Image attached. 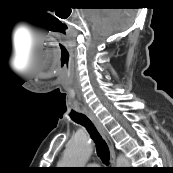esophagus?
Listing matches in <instances>:
<instances>
[{
    "instance_id": "obj_1",
    "label": "esophagus",
    "mask_w": 173,
    "mask_h": 173,
    "mask_svg": "<svg viewBox=\"0 0 173 173\" xmlns=\"http://www.w3.org/2000/svg\"><path fill=\"white\" fill-rule=\"evenodd\" d=\"M84 113L91 119V121L94 123L99 133L102 135L103 139L106 141L110 150V163L112 166H115L116 154H115L114 144L109 134L107 133L104 126L101 124V122L96 118V116L93 113H91L86 109H84Z\"/></svg>"
}]
</instances>
